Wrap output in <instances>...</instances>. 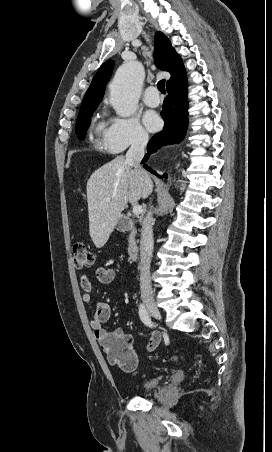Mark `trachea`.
Segmentation results:
<instances>
[{
	"instance_id": "3493384b",
	"label": "trachea",
	"mask_w": 272,
	"mask_h": 452,
	"mask_svg": "<svg viewBox=\"0 0 272 452\" xmlns=\"http://www.w3.org/2000/svg\"><path fill=\"white\" fill-rule=\"evenodd\" d=\"M157 88H158V90L162 93V94H166V90H165V80L163 79V80H160L158 83H157Z\"/></svg>"
}]
</instances>
